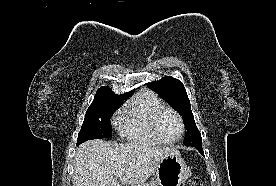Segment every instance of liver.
<instances>
[{
	"mask_svg": "<svg viewBox=\"0 0 276 186\" xmlns=\"http://www.w3.org/2000/svg\"><path fill=\"white\" fill-rule=\"evenodd\" d=\"M177 152L174 147L147 143L90 140L76 149L73 186H121L114 175L119 171L122 184L141 186L165 157Z\"/></svg>",
	"mask_w": 276,
	"mask_h": 186,
	"instance_id": "liver-1",
	"label": "liver"
}]
</instances>
